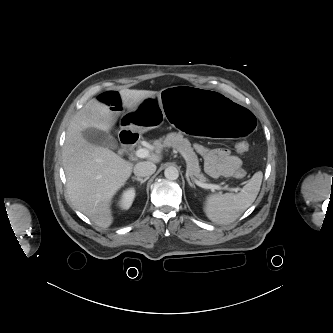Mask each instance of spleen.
<instances>
[{
    "mask_svg": "<svg viewBox=\"0 0 333 333\" xmlns=\"http://www.w3.org/2000/svg\"><path fill=\"white\" fill-rule=\"evenodd\" d=\"M263 173L256 172L238 194H210L206 197L203 211L217 224H230L255 201L262 183Z\"/></svg>",
    "mask_w": 333,
    "mask_h": 333,
    "instance_id": "1",
    "label": "spleen"
}]
</instances>
